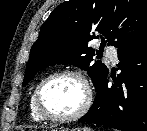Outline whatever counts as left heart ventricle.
Returning <instances> with one entry per match:
<instances>
[{
	"instance_id": "1",
	"label": "left heart ventricle",
	"mask_w": 147,
	"mask_h": 131,
	"mask_svg": "<svg viewBox=\"0 0 147 131\" xmlns=\"http://www.w3.org/2000/svg\"><path fill=\"white\" fill-rule=\"evenodd\" d=\"M86 91L82 82L72 76L52 80L43 92V103L47 110L56 115H70L84 104Z\"/></svg>"
}]
</instances>
